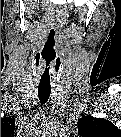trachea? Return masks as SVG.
<instances>
[{
  "mask_svg": "<svg viewBox=\"0 0 121 137\" xmlns=\"http://www.w3.org/2000/svg\"><path fill=\"white\" fill-rule=\"evenodd\" d=\"M58 22L54 21L49 28L47 41L43 53V62L40 69V79L38 86V96L41 104H45L51 93L52 67L56 57Z\"/></svg>",
  "mask_w": 121,
  "mask_h": 137,
  "instance_id": "1",
  "label": "trachea"
}]
</instances>
